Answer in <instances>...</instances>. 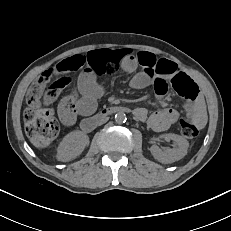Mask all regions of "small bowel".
Segmentation results:
<instances>
[{"label":"small bowel","instance_id":"small-bowel-1","mask_svg":"<svg viewBox=\"0 0 231 231\" xmlns=\"http://www.w3.org/2000/svg\"><path fill=\"white\" fill-rule=\"evenodd\" d=\"M62 74L79 72L75 91L63 96L58 104V115L62 123L71 126L75 123L77 115L91 113L96 107V98L102 92V86L97 77L103 74H113L118 71L133 73L141 68L131 80V86L144 89L156 81L170 78L183 72L174 62L157 58L153 53L146 51L134 52L129 49H100L84 54L71 56L55 65ZM185 109L188 117L199 128L206 122L205 105L201 96L186 103ZM140 121L148 123L154 131H165L174 125L180 118L178 110L172 107L159 106L148 113L146 108L139 107L134 110Z\"/></svg>","mask_w":231,"mask_h":231}]
</instances>
